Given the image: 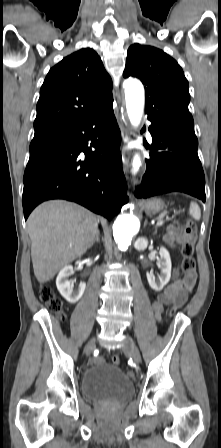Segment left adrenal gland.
<instances>
[{"mask_svg": "<svg viewBox=\"0 0 221 448\" xmlns=\"http://www.w3.org/2000/svg\"><path fill=\"white\" fill-rule=\"evenodd\" d=\"M147 221H145L144 225H146Z\"/></svg>", "mask_w": 221, "mask_h": 448, "instance_id": "left-adrenal-gland-1", "label": "left adrenal gland"}]
</instances>
